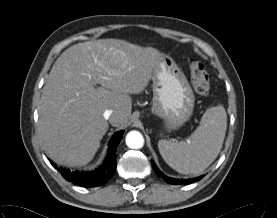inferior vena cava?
<instances>
[{
    "label": "inferior vena cava",
    "instance_id": "inferior-vena-cava-1",
    "mask_svg": "<svg viewBox=\"0 0 277 218\" xmlns=\"http://www.w3.org/2000/svg\"><path fill=\"white\" fill-rule=\"evenodd\" d=\"M103 116L106 120H111V118L113 116V111L110 109H107V110H105Z\"/></svg>",
    "mask_w": 277,
    "mask_h": 218
}]
</instances>
